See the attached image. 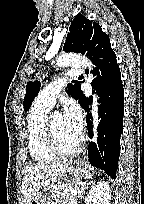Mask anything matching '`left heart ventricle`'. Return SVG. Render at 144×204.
Segmentation results:
<instances>
[{
	"instance_id": "left-heart-ventricle-1",
	"label": "left heart ventricle",
	"mask_w": 144,
	"mask_h": 204,
	"mask_svg": "<svg viewBox=\"0 0 144 204\" xmlns=\"http://www.w3.org/2000/svg\"><path fill=\"white\" fill-rule=\"evenodd\" d=\"M52 122L53 129L60 147L64 150H71L75 146L78 138L69 132L61 115H54Z\"/></svg>"
}]
</instances>
